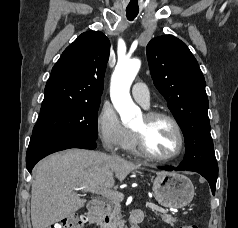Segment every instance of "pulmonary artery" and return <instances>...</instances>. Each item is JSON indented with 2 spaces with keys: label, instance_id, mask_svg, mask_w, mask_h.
I'll use <instances>...</instances> for the list:
<instances>
[{
  "label": "pulmonary artery",
  "instance_id": "e3ab8cb5",
  "mask_svg": "<svg viewBox=\"0 0 238 228\" xmlns=\"http://www.w3.org/2000/svg\"><path fill=\"white\" fill-rule=\"evenodd\" d=\"M132 96L133 98L142 104L143 106H147L150 100V94L147 86L144 83L138 82L132 86Z\"/></svg>",
  "mask_w": 238,
  "mask_h": 228
}]
</instances>
